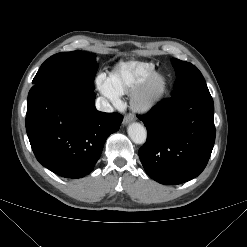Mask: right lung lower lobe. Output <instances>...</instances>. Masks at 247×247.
Returning <instances> with one entry per match:
<instances>
[{"label":"right lung lower lobe","mask_w":247,"mask_h":247,"mask_svg":"<svg viewBox=\"0 0 247 247\" xmlns=\"http://www.w3.org/2000/svg\"><path fill=\"white\" fill-rule=\"evenodd\" d=\"M92 90L60 83L34 85L28 94L26 131L35 157L65 178H81L97 163L107 137L123 116L97 111Z\"/></svg>","instance_id":"98d812e1"}]
</instances>
